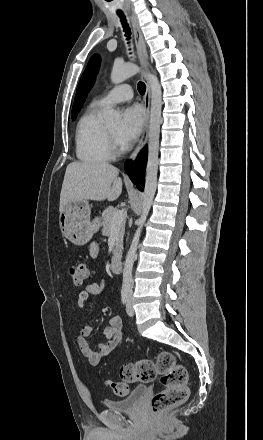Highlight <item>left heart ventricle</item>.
Returning <instances> with one entry per match:
<instances>
[{
  "mask_svg": "<svg viewBox=\"0 0 263 440\" xmlns=\"http://www.w3.org/2000/svg\"><path fill=\"white\" fill-rule=\"evenodd\" d=\"M118 123H114L108 126V128L110 129V131L116 136L117 134V130H118Z\"/></svg>",
  "mask_w": 263,
  "mask_h": 440,
  "instance_id": "1",
  "label": "left heart ventricle"
}]
</instances>
